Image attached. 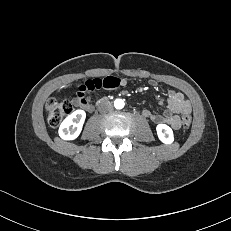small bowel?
<instances>
[{"label": "small bowel", "mask_w": 231, "mask_h": 231, "mask_svg": "<svg viewBox=\"0 0 231 231\" xmlns=\"http://www.w3.org/2000/svg\"><path fill=\"white\" fill-rule=\"evenodd\" d=\"M126 84L127 81L125 79H119L117 76L88 80L85 84L79 86L77 95L74 98V103L82 109L90 111L92 109V102L87 95L88 92H94L99 89H116ZM150 85L155 86L156 82L151 80ZM160 105L166 107L163 114L157 115L150 109H145L143 115L151 119L154 123H167L174 129L181 127L182 121L179 115L190 114L191 112L190 102L184 97L183 93L179 91H168L166 102H161Z\"/></svg>", "instance_id": "c3829d8e"}]
</instances>
